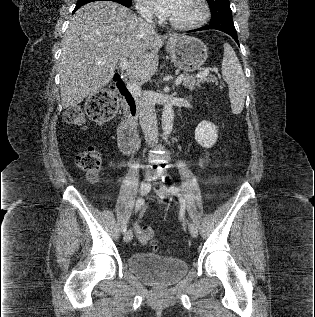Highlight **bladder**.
Masks as SVG:
<instances>
[{"mask_svg": "<svg viewBox=\"0 0 315 317\" xmlns=\"http://www.w3.org/2000/svg\"><path fill=\"white\" fill-rule=\"evenodd\" d=\"M128 268L143 282L163 287L176 283L187 272L186 261L153 253L136 252L127 260Z\"/></svg>", "mask_w": 315, "mask_h": 317, "instance_id": "31cf9c89", "label": "bladder"}]
</instances>
